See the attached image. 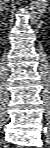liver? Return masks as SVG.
<instances>
[{
	"instance_id": "6515ba94",
	"label": "liver",
	"mask_w": 50,
	"mask_h": 148,
	"mask_svg": "<svg viewBox=\"0 0 50 148\" xmlns=\"http://www.w3.org/2000/svg\"><path fill=\"white\" fill-rule=\"evenodd\" d=\"M4 2H5V0H1V5H3V4H4Z\"/></svg>"
}]
</instances>
